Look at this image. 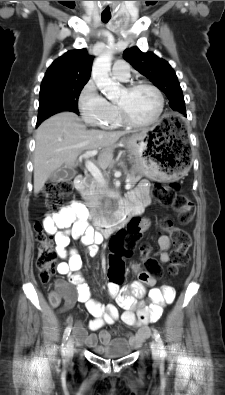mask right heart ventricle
<instances>
[{
    "mask_svg": "<svg viewBox=\"0 0 225 395\" xmlns=\"http://www.w3.org/2000/svg\"><path fill=\"white\" fill-rule=\"evenodd\" d=\"M113 107H114V109H115V114H114V116L112 117V119L107 123V125L105 126L106 128H116V127H119V126H121V124H122V122H121V120H120V117H119V114H118V110H117V108L114 106V105H112Z\"/></svg>",
    "mask_w": 225,
    "mask_h": 395,
    "instance_id": "obj_1",
    "label": "right heart ventricle"
}]
</instances>
